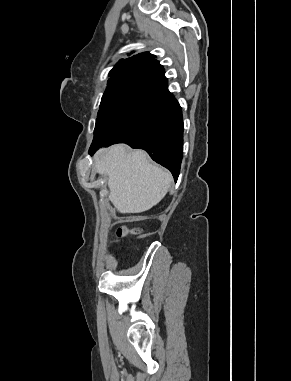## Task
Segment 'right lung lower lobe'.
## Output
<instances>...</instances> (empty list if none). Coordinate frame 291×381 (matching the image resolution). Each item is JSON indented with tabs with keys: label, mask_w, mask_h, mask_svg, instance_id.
Masks as SVG:
<instances>
[{
	"label": "right lung lower lobe",
	"mask_w": 291,
	"mask_h": 381,
	"mask_svg": "<svg viewBox=\"0 0 291 381\" xmlns=\"http://www.w3.org/2000/svg\"><path fill=\"white\" fill-rule=\"evenodd\" d=\"M164 69L142 77L121 121L115 141L92 144V155L103 146L126 143L144 149L150 157L178 178L183 156L182 110L167 87Z\"/></svg>",
	"instance_id": "obj_1"
}]
</instances>
